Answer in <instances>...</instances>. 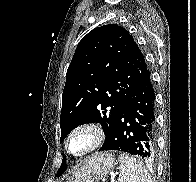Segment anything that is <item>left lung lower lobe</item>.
<instances>
[{
  "label": "left lung lower lobe",
  "mask_w": 196,
  "mask_h": 182,
  "mask_svg": "<svg viewBox=\"0 0 196 182\" xmlns=\"http://www.w3.org/2000/svg\"><path fill=\"white\" fill-rule=\"evenodd\" d=\"M155 94L149 70L126 98L99 151L118 150L142 158L155 155Z\"/></svg>",
  "instance_id": "obj_1"
}]
</instances>
